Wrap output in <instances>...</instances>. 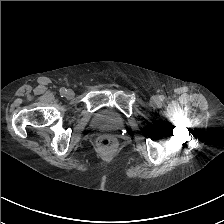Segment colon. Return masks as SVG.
Instances as JSON below:
<instances>
[{"instance_id": "colon-1", "label": "colon", "mask_w": 224, "mask_h": 224, "mask_svg": "<svg viewBox=\"0 0 224 224\" xmlns=\"http://www.w3.org/2000/svg\"><path fill=\"white\" fill-rule=\"evenodd\" d=\"M114 144H115L114 139L109 136H102L98 139V145L101 148H110L113 147Z\"/></svg>"}]
</instances>
